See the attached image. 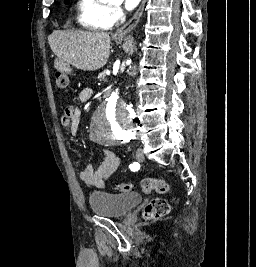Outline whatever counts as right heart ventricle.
Here are the masks:
<instances>
[{
  "instance_id": "obj_1",
  "label": "right heart ventricle",
  "mask_w": 256,
  "mask_h": 267,
  "mask_svg": "<svg viewBox=\"0 0 256 267\" xmlns=\"http://www.w3.org/2000/svg\"><path fill=\"white\" fill-rule=\"evenodd\" d=\"M112 0H83L82 6L88 10V19L82 24L85 28H100L98 23L104 12L109 11ZM71 28V27H64Z\"/></svg>"
}]
</instances>
